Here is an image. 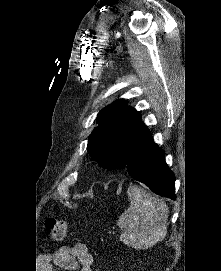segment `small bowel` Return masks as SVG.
<instances>
[{"mask_svg": "<svg viewBox=\"0 0 221 271\" xmlns=\"http://www.w3.org/2000/svg\"><path fill=\"white\" fill-rule=\"evenodd\" d=\"M66 271H92L94 259L84 243L77 242L73 245L60 247L53 256L41 257L43 271H50V262Z\"/></svg>", "mask_w": 221, "mask_h": 271, "instance_id": "1", "label": "small bowel"}]
</instances>
